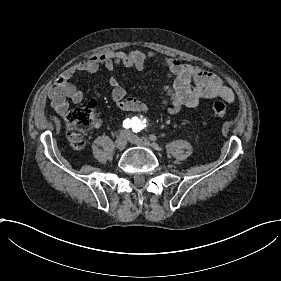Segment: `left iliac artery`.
I'll use <instances>...</instances> for the list:
<instances>
[{
    "instance_id": "obj_1",
    "label": "left iliac artery",
    "mask_w": 281,
    "mask_h": 281,
    "mask_svg": "<svg viewBox=\"0 0 281 281\" xmlns=\"http://www.w3.org/2000/svg\"><path fill=\"white\" fill-rule=\"evenodd\" d=\"M133 132H140L143 129V123L137 117L133 118Z\"/></svg>"
}]
</instances>
